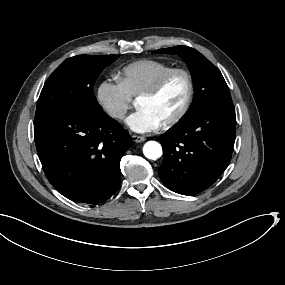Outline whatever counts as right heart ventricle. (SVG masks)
<instances>
[{
    "label": "right heart ventricle",
    "mask_w": 285,
    "mask_h": 285,
    "mask_svg": "<svg viewBox=\"0 0 285 285\" xmlns=\"http://www.w3.org/2000/svg\"><path fill=\"white\" fill-rule=\"evenodd\" d=\"M172 70V67L157 60H141L131 66V76L126 90L134 98H139Z\"/></svg>",
    "instance_id": "obj_1"
}]
</instances>
